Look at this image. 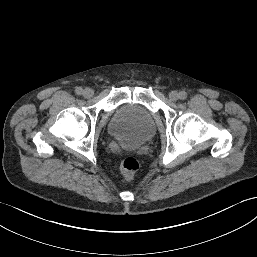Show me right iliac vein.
Masks as SVG:
<instances>
[{
  "label": "right iliac vein",
  "mask_w": 257,
  "mask_h": 257,
  "mask_svg": "<svg viewBox=\"0 0 257 257\" xmlns=\"http://www.w3.org/2000/svg\"><path fill=\"white\" fill-rule=\"evenodd\" d=\"M94 94L93 90L91 88H85L84 91H83V96L85 98H90L92 97Z\"/></svg>",
  "instance_id": "obj_1"
}]
</instances>
